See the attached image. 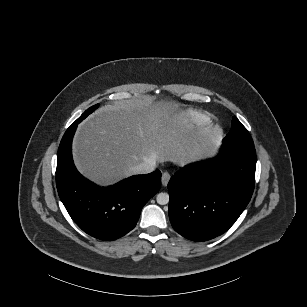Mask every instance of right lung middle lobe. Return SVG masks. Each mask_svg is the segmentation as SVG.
<instances>
[{"label":"right lung middle lobe","instance_id":"right-lung-middle-lobe-1","mask_svg":"<svg viewBox=\"0 0 307 307\" xmlns=\"http://www.w3.org/2000/svg\"><path fill=\"white\" fill-rule=\"evenodd\" d=\"M99 107V104H96L92 107H90L89 109H87L81 116L82 118H86L90 113H92L95 109H97Z\"/></svg>","mask_w":307,"mask_h":307}]
</instances>
